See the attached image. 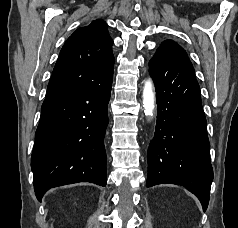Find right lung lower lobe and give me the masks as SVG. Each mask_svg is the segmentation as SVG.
<instances>
[{
  "label": "right lung lower lobe",
  "mask_w": 238,
  "mask_h": 228,
  "mask_svg": "<svg viewBox=\"0 0 238 228\" xmlns=\"http://www.w3.org/2000/svg\"><path fill=\"white\" fill-rule=\"evenodd\" d=\"M113 72L100 83L45 98L31 157L39 201L53 187L78 182L106 185L104 135Z\"/></svg>",
  "instance_id": "98d812e1"
}]
</instances>
